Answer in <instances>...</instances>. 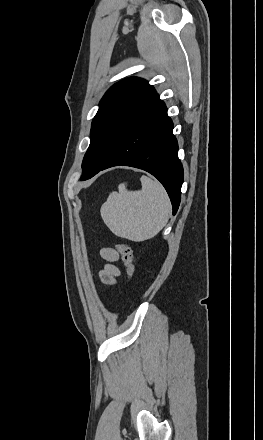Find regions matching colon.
I'll list each match as a JSON object with an SVG mask.
<instances>
[{
	"label": "colon",
	"instance_id": "1",
	"mask_svg": "<svg viewBox=\"0 0 263 440\" xmlns=\"http://www.w3.org/2000/svg\"><path fill=\"white\" fill-rule=\"evenodd\" d=\"M116 249L120 253L122 262L127 270L128 276L131 279L135 274V263L132 255V250L126 243L116 244Z\"/></svg>",
	"mask_w": 263,
	"mask_h": 440
}]
</instances>
